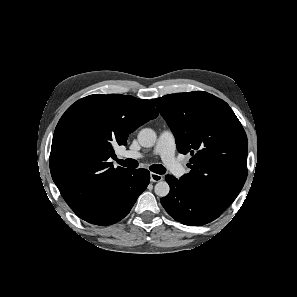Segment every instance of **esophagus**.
<instances>
[{"instance_id": "34e87169", "label": "esophagus", "mask_w": 297, "mask_h": 297, "mask_svg": "<svg viewBox=\"0 0 297 297\" xmlns=\"http://www.w3.org/2000/svg\"><path fill=\"white\" fill-rule=\"evenodd\" d=\"M150 180L152 182H159L163 180V176L152 172L150 174Z\"/></svg>"}]
</instances>
